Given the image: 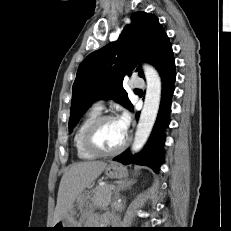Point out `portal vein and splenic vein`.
Returning <instances> with one entry per match:
<instances>
[{"instance_id":"18ae733b","label":"portal vein and splenic vein","mask_w":231,"mask_h":231,"mask_svg":"<svg viewBox=\"0 0 231 231\" xmlns=\"http://www.w3.org/2000/svg\"><path fill=\"white\" fill-rule=\"evenodd\" d=\"M110 189H111V190H114V189H115V187H114V186H111V187H110Z\"/></svg>"}]
</instances>
